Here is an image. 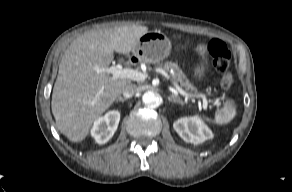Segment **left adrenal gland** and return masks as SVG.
<instances>
[{
    "mask_svg": "<svg viewBox=\"0 0 292 192\" xmlns=\"http://www.w3.org/2000/svg\"><path fill=\"white\" fill-rule=\"evenodd\" d=\"M168 102H174V103H178V104H183L182 100L180 98H177L174 95L168 97Z\"/></svg>",
    "mask_w": 292,
    "mask_h": 192,
    "instance_id": "left-adrenal-gland-1",
    "label": "left adrenal gland"
}]
</instances>
